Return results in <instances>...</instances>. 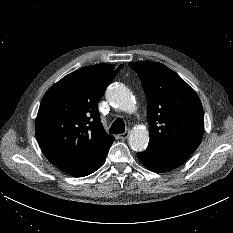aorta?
I'll list each match as a JSON object with an SVG mask.
<instances>
[{"mask_svg":"<svg viewBox=\"0 0 233 233\" xmlns=\"http://www.w3.org/2000/svg\"><path fill=\"white\" fill-rule=\"evenodd\" d=\"M107 100L124 112L135 111V101L132 93L124 86L111 85L106 90ZM129 146L136 152L146 149L149 142V133L145 127H135L129 134Z\"/></svg>","mask_w":233,"mask_h":233,"instance_id":"762f6f07","label":"aorta"}]
</instances>
